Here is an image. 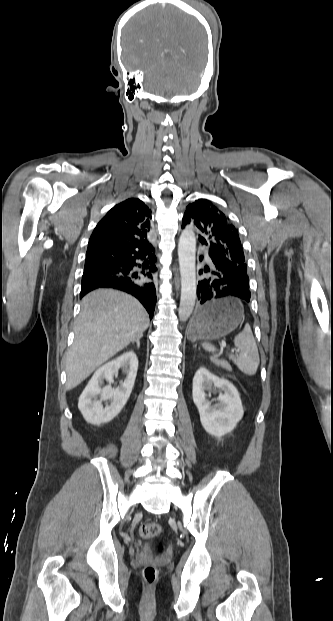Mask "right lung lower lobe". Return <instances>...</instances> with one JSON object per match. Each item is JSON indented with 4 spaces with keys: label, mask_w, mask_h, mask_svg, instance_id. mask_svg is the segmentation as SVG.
Returning <instances> with one entry per match:
<instances>
[{
    "label": "right lung lower lobe",
    "mask_w": 333,
    "mask_h": 621,
    "mask_svg": "<svg viewBox=\"0 0 333 621\" xmlns=\"http://www.w3.org/2000/svg\"><path fill=\"white\" fill-rule=\"evenodd\" d=\"M155 262L153 246L143 252L89 255L85 261L80 298L97 288L118 289L135 296L152 319L156 289L153 283L144 282L143 278H152L151 273L156 271Z\"/></svg>",
    "instance_id": "right-lung-lower-lobe-1"
}]
</instances>
